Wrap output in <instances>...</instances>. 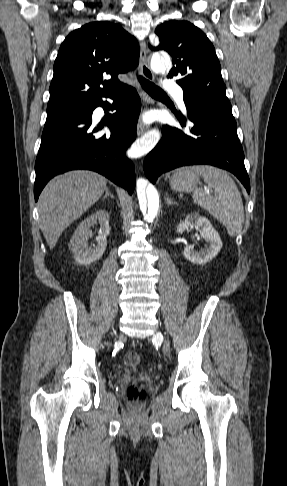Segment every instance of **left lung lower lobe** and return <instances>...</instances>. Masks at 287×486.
Here are the masks:
<instances>
[{
  "label": "left lung lower lobe",
  "instance_id": "1",
  "mask_svg": "<svg viewBox=\"0 0 287 486\" xmlns=\"http://www.w3.org/2000/svg\"><path fill=\"white\" fill-rule=\"evenodd\" d=\"M187 112L193 123L190 132L167 125L162 128V139L144 161L147 178L155 183L159 175L177 167L209 164L232 172L249 193L250 182L236 126L195 110ZM175 115L185 127L181 115Z\"/></svg>",
  "mask_w": 287,
  "mask_h": 486
}]
</instances>
